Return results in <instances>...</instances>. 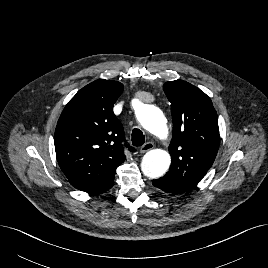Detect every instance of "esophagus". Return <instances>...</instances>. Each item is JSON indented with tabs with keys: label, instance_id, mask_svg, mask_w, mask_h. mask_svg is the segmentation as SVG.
Segmentation results:
<instances>
[{
	"label": "esophagus",
	"instance_id": "esophagus-1",
	"mask_svg": "<svg viewBox=\"0 0 268 268\" xmlns=\"http://www.w3.org/2000/svg\"><path fill=\"white\" fill-rule=\"evenodd\" d=\"M153 148H154V144L152 142H147L141 147L140 152L145 153Z\"/></svg>",
	"mask_w": 268,
	"mask_h": 268
}]
</instances>
